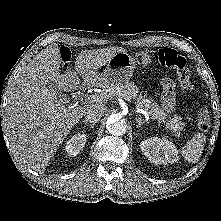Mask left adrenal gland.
<instances>
[{"label": "left adrenal gland", "instance_id": "obj_1", "mask_svg": "<svg viewBox=\"0 0 221 221\" xmlns=\"http://www.w3.org/2000/svg\"><path fill=\"white\" fill-rule=\"evenodd\" d=\"M136 122H137L138 129L145 123V121L141 117H137Z\"/></svg>", "mask_w": 221, "mask_h": 221}]
</instances>
